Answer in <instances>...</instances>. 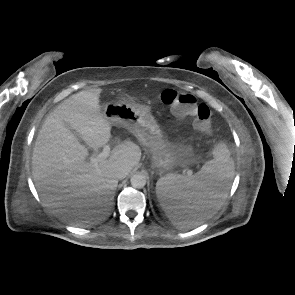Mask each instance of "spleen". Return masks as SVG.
I'll return each mask as SVG.
<instances>
[{
  "mask_svg": "<svg viewBox=\"0 0 295 295\" xmlns=\"http://www.w3.org/2000/svg\"><path fill=\"white\" fill-rule=\"evenodd\" d=\"M213 159L193 175L167 174L156 183V194L173 223L191 228L218 208L228 194L234 176V161L223 143L212 151Z\"/></svg>",
  "mask_w": 295,
  "mask_h": 295,
  "instance_id": "1",
  "label": "spleen"
}]
</instances>
